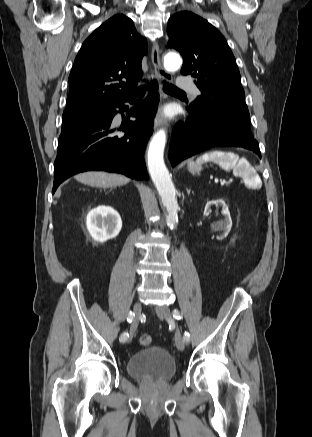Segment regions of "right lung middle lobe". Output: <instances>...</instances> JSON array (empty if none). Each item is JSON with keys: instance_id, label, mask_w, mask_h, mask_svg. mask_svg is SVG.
Returning a JSON list of instances; mask_svg holds the SVG:
<instances>
[{"instance_id": "obj_1", "label": "right lung middle lobe", "mask_w": 312, "mask_h": 437, "mask_svg": "<svg viewBox=\"0 0 312 437\" xmlns=\"http://www.w3.org/2000/svg\"><path fill=\"white\" fill-rule=\"evenodd\" d=\"M107 108L103 109H77L64 111L61 133L72 131L87 123L96 121L105 116Z\"/></svg>"}]
</instances>
